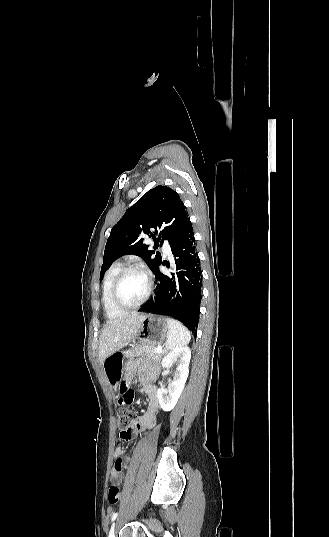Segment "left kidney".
I'll use <instances>...</instances> for the list:
<instances>
[{"label":"left kidney","instance_id":"5707ae66","mask_svg":"<svg viewBox=\"0 0 329 537\" xmlns=\"http://www.w3.org/2000/svg\"><path fill=\"white\" fill-rule=\"evenodd\" d=\"M190 359L191 351L188 347L171 351L162 359L161 365L166 369L170 368L174 362L177 363L173 380L169 381L168 387L157 390V398L164 411H171L176 406L189 374Z\"/></svg>","mask_w":329,"mask_h":537}]
</instances>
